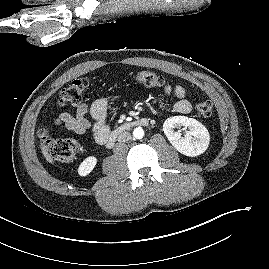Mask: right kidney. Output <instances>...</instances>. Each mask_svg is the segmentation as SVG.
Instances as JSON below:
<instances>
[{
    "label": "right kidney",
    "instance_id": "1",
    "mask_svg": "<svg viewBox=\"0 0 269 269\" xmlns=\"http://www.w3.org/2000/svg\"><path fill=\"white\" fill-rule=\"evenodd\" d=\"M97 159L94 156H89L80 164L78 168V173L80 176L88 175L96 166Z\"/></svg>",
    "mask_w": 269,
    "mask_h": 269
}]
</instances>
